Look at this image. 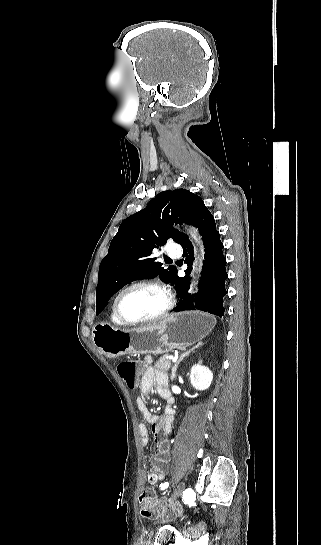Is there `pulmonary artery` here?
<instances>
[{
    "label": "pulmonary artery",
    "instance_id": "1",
    "mask_svg": "<svg viewBox=\"0 0 321 545\" xmlns=\"http://www.w3.org/2000/svg\"><path fill=\"white\" fill-rule=\"evenodd\" d=\"M182 253L180 246H169L168 250H165L163 257L165 261H176L177 257H180Z\"/></svg>",
    "mask_w": 321,
    "mask_h": 545
}]
</instances>
